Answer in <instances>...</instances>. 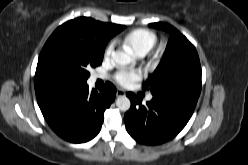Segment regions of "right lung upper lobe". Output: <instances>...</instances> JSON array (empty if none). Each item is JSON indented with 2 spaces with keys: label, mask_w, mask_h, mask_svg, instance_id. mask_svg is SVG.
<instances>
[{
  "label": "right lung upper lobe",
  "mask_w": 248,
  "mask_h": 165,
  "mask_svg": "<svg viewBox=\"0 0 248 165\" xmlns=\"http://www.w3.org/2000/svg\"><path fill=\"white\" fill-rule=\"evenodd\" d=\"M61 27L71 28L80 34L93 39L97 44L106 46L107 42L117 33L122 31L125 26L117 25L113 23H103L96 21L90 17H79L70 20ZM65 89H77L69 88L57 82L48 80L37 72L35 74V92L36 97L39 98L50 92L65 90Z\"/></svg>",
  "instance_id": "right-lung-upper-lobe-1"
}]
</instances>
